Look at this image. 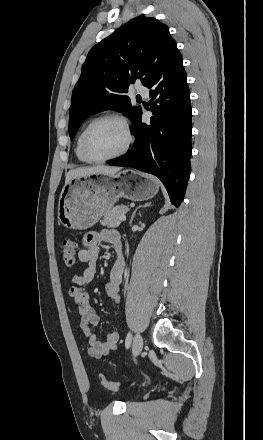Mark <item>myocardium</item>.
Returning <instances> with one entry per match:
<instances>
[{"mask_svg": "<svg viewBox=\"0 0 263 440\" xmlns=\"http://www.w3.org/2000/svg\"><path fill=\"white\" fill-rule=\"evenodd\" d=\"M105 121H114L116 123H118L124 130L125 133V142L123 144V146L115 153L108 155V156H103V157H97L94 156L90 150H89V138L90 135L92 133V131L94 130V128L99 125L102 122ZM133 132L131 130V127L128 123V121L117 114H105L102 116H99L97 118H95L94 120H92L90 122V124L87 126L83 136H82V140H81V151L83 156L85 157L86 160H88L89 162H93V163H102V162H107L116 158H119L121 156H123L124 154L127 153V151L130 149L132 143H133Z\"/></svg>", "mask_w": 263, "mask_h": 440, "instance_id": "1", "label": "myocardium"}]
</instances>
